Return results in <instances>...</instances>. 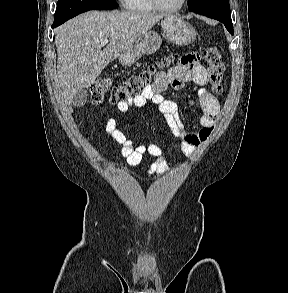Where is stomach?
I'll return each mask as SVG.
<instances>
[{"mask_svg": "<svg viewBox=\"0 0 288 293\" xmlns=\"http://www.w3.org/2000/svg\"><path fill=\"white\" fill-rule=\"evenodd\" d=\"M164 35L168 41L177 45H188L195 41L197 31L188 22L175 15L164 17L161 22ZM162 43L161 37L155 31H148L140 36L134 45L119 56V62L124 67H130L143 55L156 52Z\"/></svg>", "mask_w": 288, "mask_h": 293, "instance_id": "1", "label": "stomach"}]
</instances>
